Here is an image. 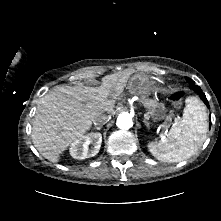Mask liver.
I'll return each mask as SVG.
<instances>
[{
  "mask_svg": "<svg viewBox=\"0 0 221 221\" xmlns=\"http://www.w3.org/2000/svg\"><path fill=\"white\" fill-rule=\"evenodd\" d=\"M127 79V73L118 72L106 75L99 87L56 86L40 98L31 134L39 153L58 162L60 154L91 128L97 115H114L115 99Z\"/></svg>",
  "mask_w": 221,
  "mask_h": 221,
  "instance_id": "liver-1",
  "label": "liver"
}]
</instances>
